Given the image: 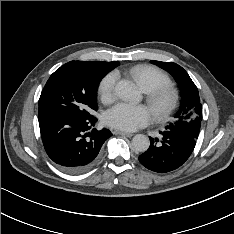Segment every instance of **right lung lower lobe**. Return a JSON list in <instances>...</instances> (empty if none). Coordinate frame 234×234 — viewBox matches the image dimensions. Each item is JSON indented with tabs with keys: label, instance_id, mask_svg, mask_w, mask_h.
Returning a JSON list of instances; mask_svg holds the SVG:
<instances>
[{
	"label": "right lung lower lobe",
	"instance_id": "98d812e1",
	"mask_svg": "<svg viewBox=\"0 0 234 234\" xmlns=\"http://www.w3.org/2000/svg\"><path fill=\"white\" fill-rule=\"evenodd\" d=\"M97 119L51 115L39 119L42 142L47 155L69 172H81L98 158L103 143L112 136L108 129H91Z\"/></svg>",
	"mask_w": 234,
	"mask_h": 234
}]
</instances>
